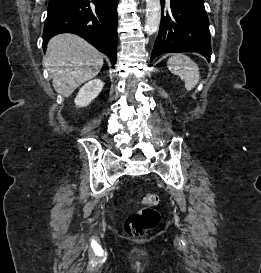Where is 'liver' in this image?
<instances>
[{
    "instance_id": "liver-1",
    "label": "liver",
    "mask_w": 261,
    "mask_h": 273,
    "mask_svg": "<svg viewBox=\"0 0 261 273\" xmlns=\"http://www.w3.org/2000/svg\"><path fill=\"white\" fill-rule=\"evenodd\" d=\"M43 65L53 75L56 92L69 97L82 83L99 73L103 55L84 39L61 34L49 41Z\"/></svg>"
}]
</instances>
